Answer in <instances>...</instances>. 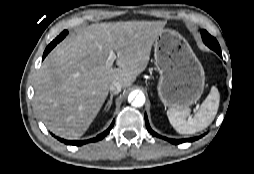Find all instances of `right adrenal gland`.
Returning a JSON list of instances; mask_svg holds the SVG:
<instances>
[{
  "mask_svg": "<svg viewBox=\"0 0 254 174\" xmlns=\"http://www.w3.org/2000/svg\"><path fill=\"white\" fill-rule=\"evenodd\" d=\"M116 94H117L116 92L110 94V99L107 102V104H106V106L104 108V111H108L110 109V107L112 105V101H113V96L116 95Z\"/></svg>",
  "mask_w": 254,
  "mask_h": 174,
  "instance_id": "right-adrenal-gland-1",
  "label": "right adrenal gland"
}]
</instances>
